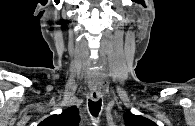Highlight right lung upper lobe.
<instances>
[{
  "label": "right lung upper lobe",
  "mask_w": 195,
  "mask_h": 126,
  "mask_svg": "<svg viewBox=\"0 0 195 126\" xmlns=\"http://www.w3.org/2000/svg\"><path fill=\"white\" fill-rule=\"evenodd\" d=\"M79 111L72 106L59 115H52L42 121L38 126H78Z\"/></svg>",
  "instance_id": "1"
}]
</instances>
